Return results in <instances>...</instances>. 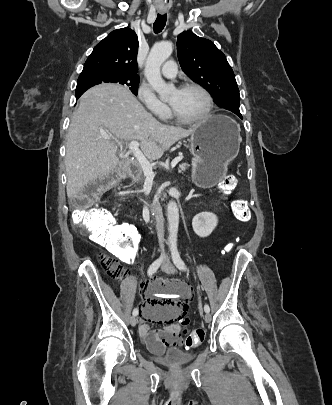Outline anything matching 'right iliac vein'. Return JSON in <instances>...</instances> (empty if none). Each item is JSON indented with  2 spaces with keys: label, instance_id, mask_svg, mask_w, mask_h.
Returning a JSON list of instances; mask_svg holds the SVG:
<instances>
[{
  "label": "right iliac vein",
  "instance_id": "right-iliac-vein-1",
  "mask_svg": "<svg viewBox=\"0 0 332 405\" xmlns=\"http://www.w3.org/2000/svg\"><path fill=\"white\" fill-rule=\"evenodd\" d=\"M130 324H131V326H135L137 324V319L135 316H132L130 318Z\"/></svg>",
  "mask_w": 332,
  "mask_h": 405
}]
</instances>
